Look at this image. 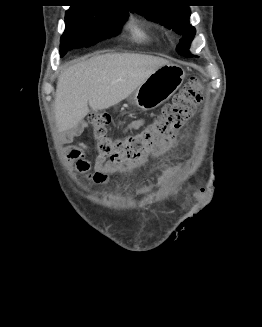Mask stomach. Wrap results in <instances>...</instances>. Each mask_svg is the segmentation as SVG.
<instances>
[{"label":"stomach","instance_id":"stomach-1","mask_svg":"<svg viewBox=\"0 0 262 327\" xmlns=\"http://www.w3.org/2000/svg\"><path fill=\"white\" fill-rule=\"evenodd\" d=\"M183 68L168 63L155 70L130 96L131 104L143 110H152L166 102L182 85Z\"/></svg>","mask_w":262,"mask_h":327}]
</instances>
